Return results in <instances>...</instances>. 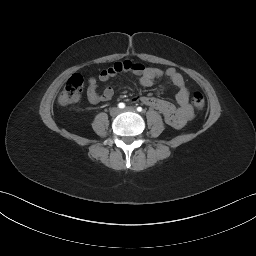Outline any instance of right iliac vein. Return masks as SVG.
<instances>
[{"instance_id":"1","label":"right iliac vein","mask_w":256,"mask_h":256,"mask_svg":"<svg viewBox=\"0 0 256 256\" xmlns=\"http://www.w3.org/2000/svg\"><path fill=\"white\" fill-rule=\"evenodd\" d=\"M119 113H120V109L117 108V107H114V108H112V109L110 110V114H111L112 116H117Z\"/></svg>"}]
</instances>
